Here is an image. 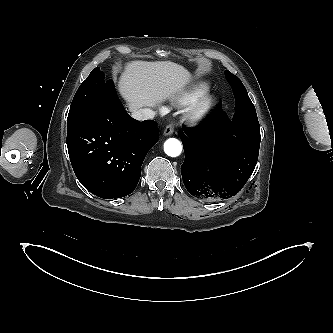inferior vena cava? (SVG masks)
Returning <instances> with one entry per match:
<instances>
[{"instance_id": "inferior-vena-cava-1", "label": "inferior vena cava", "mask_w": 333, "mask_h": 333, "mask_svg": "<svg viewBox=\"0 0 333 333\" xmlns=\"http://www.w3.org/2000/svg\"><path fill=\"white\" fill-rule=\"evenodd\" d=\"M155 112L149 108L138 109L132 112V117L137 120H148L154 118Z\"/></svg>"}]
</instances>
